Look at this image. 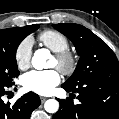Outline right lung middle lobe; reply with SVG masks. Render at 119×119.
<instances>
[{
	"instance_id": "dd1d6c3e",
	"label": "right lung middle lobe",
	"mask_w": 119,
	"mask_h": 119,
	"mask_svg": "<svg viewBox=\"0 0 119 119\" xmlns=\"http://www.w3.org/2000/svg\"><path fill=\"white\" fill-rule=\"evenodd\" d=\"M38 28L39 25L33 24L22 33H0V84L10 86L13 84V78L19 76L16 63L17 47L27 35Z\"/></svg>"
}]
</instances>
